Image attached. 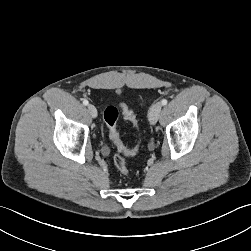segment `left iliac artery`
<instances>
[{
    "label": "left iliac artery",
    "instance_id": "left-iliac-artery-1",
    "mask_svg": "<svg viewBox=\"0 0 251 251\" xmlns=\"http://www.w3.org/2000/svg\"><path fill=\"white\" fill-rule=\"evenodd\" d=\"M167 99H163L162 101H161V104L164 106V105H166L167 104Z\"/></svg>",
    "mask_w": 251,
    "mask_h": 251
}]
</instances>
